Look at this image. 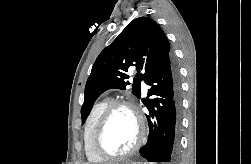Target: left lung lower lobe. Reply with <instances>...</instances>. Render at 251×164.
I'll return each instance as SVG.
<instances>
[{"label": "left lung lower lobe", "mask_w": 251, "mask_h": 164, "mask_svg": "<svg viewBox=\"0 0 251 164\" xmlns=\"http://www.w3.org/2000/svg\"><path fill=\"white\" fill-rule=\"evenodd\" d=\"M151 88L147 115L149 135L140 154L149 162L174 164L178 158L181 112L179 72L172 55L166 58L145 80Z\"/></svg>", "instance_id": "obj_1"}]
</instances>
